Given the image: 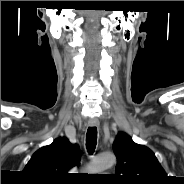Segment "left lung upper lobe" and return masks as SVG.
<instances>
[{"instance_id":"obj_1","label":"left lung upper lobe","mask_w":184,"mask_h":184,"mask_svg":"<svg viewBox=\"0 0 184 184\" xmlns=\"http://www.w3.org/2000/svg\"><path fill=\"white\" fill-rule=\"evenodd\" d=\"M117 166L113 179L119 184H166L167 174L155 154L144 145L119 132L113 144Z\"/></svg>"}]
</instances>
